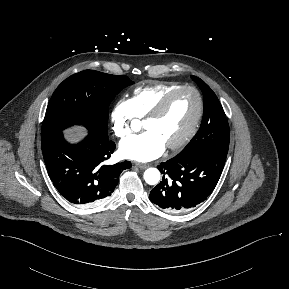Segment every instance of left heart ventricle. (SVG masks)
<instances>
[{"label": "left heart ventricle", "instance_id": "obj_1", "mask_svg": "<svg viewBox=\"0 0 289 289\" xmlns=\"http://www.w3.org/2000/svg\"><path fill=\"white\" fill-rule=\"evenodd\" d=\"M198 108L194 92L182 91L171 101L166 112L158 119L144 122L146 131L155 133L165 146L179 141L191 127Z\"/></svg>", "mask_w": 289, "mask_h": 289}]
</instances>
